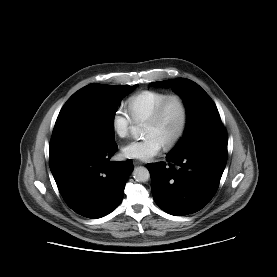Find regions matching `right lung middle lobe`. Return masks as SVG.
<instances>
[{
	"instance_id": "right-lung-middle-lobe-1",
	"label": "right lung middle lobe",
	"mask_w": 277,
	"mask_h": 277,
	"mask_svg": "<svg viewBox=\"0 0 277 277\" xmlns=\"http://www.w3.org/2000/svg\"><path fill=\"white\" fill-rule=\"evenodd\" d=\"M136 86L90 84L78 90L61 109L54 131L77 132L104 144L113 143L117 107Z\"/></svg>"
}]
</instances>
